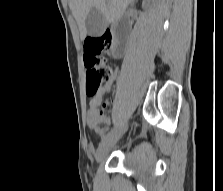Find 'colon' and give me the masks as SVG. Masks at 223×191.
<instances>
[{
  "label": "colon",
  "instance_id": "obj_1",
  "mask_svg": "<svg viewBox=\"0 0 223 191\" xmlns=\"http://www.w3.org/2000/svg\"><path fill=\"white\" fill-rule=\"evenodd\" d=\"M113 37L109 33L89 36L84 42V65L86 72V94L95 97L101 84L110 79L112 69L103 60L102 54L111 47Z\"/></svg>",
  "mask_w": 223,
  "mask_h": 191
}]
</instances>
